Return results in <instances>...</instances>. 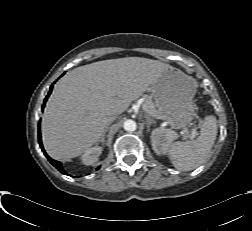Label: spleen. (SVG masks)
<instances>
[{"instance_id":"spleen-1","label":"spleen","mask_w":252,"mask_h":231,"mask_svg":"<svg viewBox=\"0 0 252 231\" xmlns=\"http://www.w3.org/2000/svg\"><path fill=\"white\" fill-rule=\"evenodd\" d=\"M215 116L205 117L197 139L170 145L168 155L173 166L178 170L190 171L202 164L208 157L217 136Z\"/></svg>"}]
</instances>
